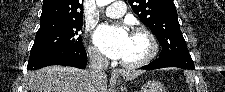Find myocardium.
Segmentation results:
<instances>
[{
  "label": "myocardium",
  "instance_id": "obj_1",
  "mask_svg": "<svg viewBox=\"0 0 225 92\" xmlns=\"http://www.w3.org/2000/svg\"><path fill=\"white\" fill-rule=\"evenodd\" d=\"M131 33L144 35L149 44V51L147 55L143 57L142 59L138 61H134V62H128V61L122 60L121 65L126 68H140L147 65L155 58L158 52V42L153 32L145 26L134 27Z\"/></svg>",
  "mask_w": 225,
  "mask_h": 92
}]
</instances>
